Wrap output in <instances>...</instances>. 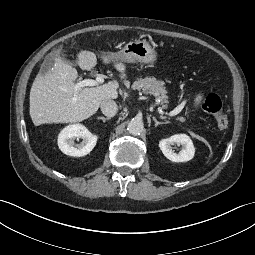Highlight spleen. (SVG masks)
I'll return each mask as SVG.
<instances>
[{
	"mask_svg": "<svg viewBox=\"0 0 255 255\" xmlns=\"http://www.w3.org/2000/svg\"><path fill=\"white\" fill-rule=\"evenodd\" d=\"M200 99H201V96L198 95V96L196 97V99H195L196 103H199Z\"/></svg>",
	"mask_w": 255,
	"mask_h": 255,
	"instance_id": "spleen-1",
	"label": "spleen"
}]
</instances>
